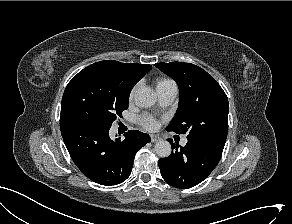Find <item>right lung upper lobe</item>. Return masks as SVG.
<instances>
[{"instance_id":"right-lung-upper-lobe-1","label":"right lung upper lobe","mask_w":292,"mask_h":224,"mask_svg":"<svg viewBox=\"0 0 292 224\" xmlns=\"http://www.w3.org/2000/svg\"><path fill=\"white\" fill-rule=\"evenodd\" d=\"M100 62L107 63L118 69L122 73L124 80L131 88H133V86L152 68V66L148 64H128L117 61Z\"/></svg>"}]
</instances>
